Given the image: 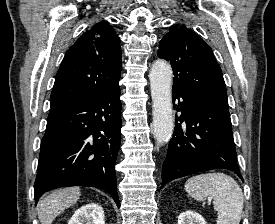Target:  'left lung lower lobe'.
<instances>
[{
    "mask_svg": "<svg viewBox=\"0 0 275 224\" xmlns=\"http://www.w3.org/2000/svg\"><path fill=\"white\" fill-rule=\"evenodd\" d=\"M176 99L181 115L175 120L174 134L163 163L161 187L174 179L218 168L233 171L242 179L229 109L173 90V103ZM182 122L186 123L184 129Z\"/></svg>",
    "mask_w": 275,
    "mask_h": 224,
    "instance_id": "left-lung-lower-lobe-1",
    "label": "left lung lower lobe"
}]
</instances>
